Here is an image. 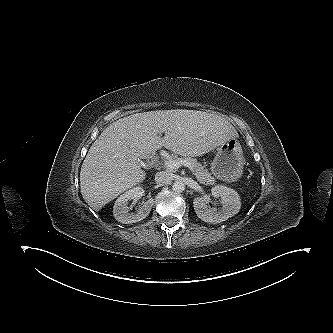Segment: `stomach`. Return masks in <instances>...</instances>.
I'll return each instance as SVG.
<instances>
[{
	"mask_svg": "<svg viewBox=\"0 0 333 333\" xmlns=\"http://www.w3.org/2000/svg\"><path fill=\"white\" fill-rule=\"evenodd\" d=\"M245 159L239 142L232 138L220 145L211 163L212 174L226 182H235L243 174Z\"/></svg>",
	"mask_w": 333,
	"mask_h": 333,
	"instance_id": "obj_1",
	"label": "stomach"
}]
</instances>
